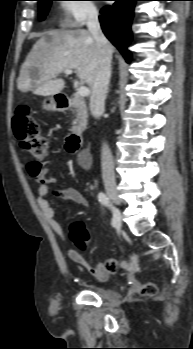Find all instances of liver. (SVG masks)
I'll return each instance as SVG.
<instances>
[{
	"label": "liver",
	"mask_w": 193,
	"mask_h": 349,
	"mask_svg": "<svg viewBox=\"0 0 193 349\" xmlns=\"http://www.w3.org/2000/svg\"><path fill=\"white\" fill-rule=\"evenodd\" d=\"M98 57L99 47L88 30L48 31L33 45L21 66L17 87L24 93L53 96L65 87L59 74L75 69L78 78L92 90Z\"/></svg>",
	"instance_id": "liver-1"
}]
</instances>
